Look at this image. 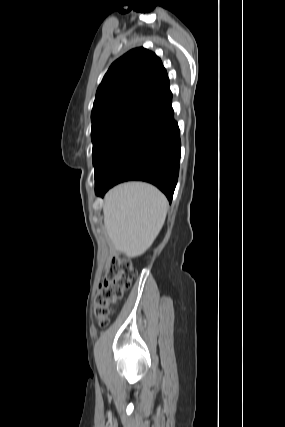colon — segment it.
<instances>
[{
	"instance_id": "obj_1",
	"label": "colon",
	"mask_w": 285,
	"mask_h": 427,
	"mask_svg": "<svg viewBox=\"0 0 285 427\" xmlns=\"http://www.w3.org/2000/svg\"><path fill=\"white\" fill-rule=\"evenodd\" d=\"M135 275L136 272L129 262H110L94 298V315L99 326L108 324L112 306L130 288Z\"/></svg>"
}]
</instances>
